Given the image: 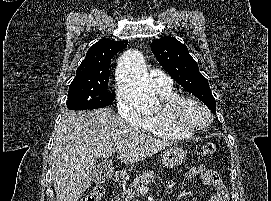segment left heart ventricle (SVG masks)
<instances>
[{
    "label": "left heart ventricle",
    "instance_id": "left-heart-ventricle-1",
    "mask_svg": "<svg viewBox=\"0 0 271 201\" xmlns=\"http://www.w3.org/2000/svg\"><path fill=\"white\" fill-rule=\"evenodd\" d=\"M184 113L186 118L196 125H203L207 122L208 119L204 110L195 105L186 106Z\"/></svg>",
    "mask_w": 271,
    "mask_h": 201
}]
</instances>
